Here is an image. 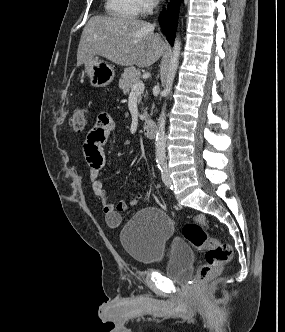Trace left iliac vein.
<instances>
[{
  "label": "left iliac vein",
  "instance_id": "obj_1",
  "mask_svg": "<svg viewBox=\"0 0 285 332\" xmlns=\"http://www.w3.org/2000/svg\"><path fill=\"white\" fill-rule=\"evenodd\" d=\"M162 180L167 187H170L172 185V179L170 178L169 171L166 166H164L163 168Z\"/></svg>",
  "mask_w": 285,
  "mask_h": 332
}]
</instances>
